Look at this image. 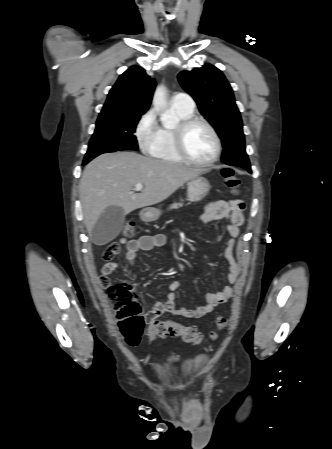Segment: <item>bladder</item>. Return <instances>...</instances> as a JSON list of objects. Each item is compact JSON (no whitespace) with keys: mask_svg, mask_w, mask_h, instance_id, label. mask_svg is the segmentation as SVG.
Listing matches in <instances>:
<instances>
[{"mask_svg":"<svg viewBox=\"0 0 332 449\" xmlns=\"http://www.w3.org/2000/svg\"><path fill=\"white\" fill-rule=\"evenodd\" d=\"M177 361H178V357H176V356H171V357L168 358V363L169 364H174Z\"/></svg>","mask_w":332,"mask_h":449,"instance_id":"31cf9c89","label":"bladder"}]
</instances>
